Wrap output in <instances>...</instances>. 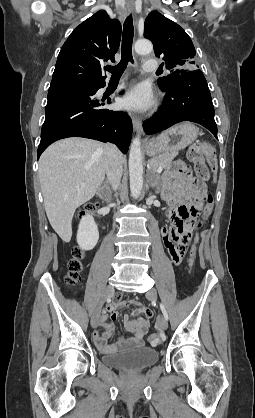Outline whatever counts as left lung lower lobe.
<instances>
[{
    "instance_id": "obj_1",
    "label": "left lung lower lobe",
    "mask_w": 255,
    "mask_h": 418,
    "mask_svg": "<svg viewBox=\"0 0 255 418\" xmlns=\"http://www.w3.org/2000/svg\"><path fill=\"white\" fill-rule=\"evenodd\" d=\"M162 110L143 123L146 134L151 135L182 122H196L217 137L214 107L207 81L201 70L177 76L167 88Z\"/></svg>"
}]
</instances>
